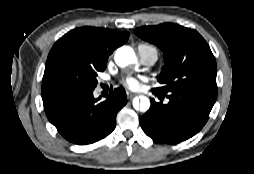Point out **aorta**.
<instances>
[{
  "label": "aorta",
  "instance_id": "762f6f07",
  "mask_svg": "<svg viewBox=\"0 0 254 174\" xmlns=\"http://www.w3.org/2000/svg\"><path fill=\"white\" fill-rule=\"evenodd\" d=\"M115 62L120 67H126L136 62V56L131 47L124 46L116 50ZM133 107L141 112H146L150 108V100L146 96H140L133 100Z\"/></svg>",
  "mask_w": 254,
  "mask_h": 174
}]
</instances>
